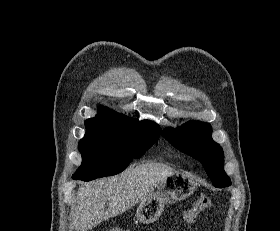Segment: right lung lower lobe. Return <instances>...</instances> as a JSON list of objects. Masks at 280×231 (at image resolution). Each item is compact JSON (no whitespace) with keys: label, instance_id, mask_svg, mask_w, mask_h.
<instances>
[{"label":"right lung lower lobe","instance_id":"1","mask_svg":"<svg viewBox=\"0 0 280 231\" xmlns=\"http://www.w3.org/2000/svg\"><path fill=\"white\" fill-rule=\"evenodd\" d=\"M72 178L75 179V180L80 179V178H74V177H72ZM80 180H82V179H80Z\"/></svg>","mask_w":280,"mask_h":231}]
</instances>
